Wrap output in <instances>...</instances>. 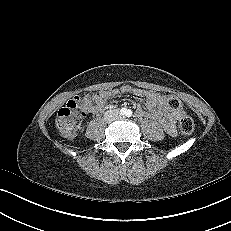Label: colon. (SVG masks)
I'll return each instance as SVG.
<instances>
[{
	"label": "colon",
	"mask_w": 231,
	"mask_h": 231,
	"mask_svg": "<svg viewBox=\"0 0 231 231\" xmlns=\"http://www.w3.org/2000/svg\"><path fill=\"white\" fill-rule=\"evenodd\" d=\"M167 106L174 111H181L182 102L176 96L166 98ZM84 111L81 109L78 97L69 100L64 107L59 109L56 116V127L59 133L65 137H71L79 127ZM179 129L184 135H190L194 131V121L183 114L179 120Z\"/></svg>",
	"instance_id": "1"
}]
</instances>
